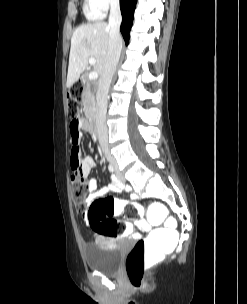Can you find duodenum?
I'll use <instances>...</instances> for the list:
<instances>
[{
    "instance_id": "1",
    "label": "duodenum",
    "mask_w": 247,
    "mask_h": 304,
    "mask_svg": "<svg viewBox=\"0 0 247 304\" xmlns=\"http://www.w3.org/2000/svg\"><path fill=\"white\" fill-rule=\"evenodd\" d=\"M86 90L89 88L87 85L84 87ZM90 123H89V126L91 127V132H90V135L93 137V136H95V137H97V135H98V132H97V124H96V119H94V117L92 118V119H90V121H89ZM96 140V139H95Z\"/></svg>"
}]
</instances>
